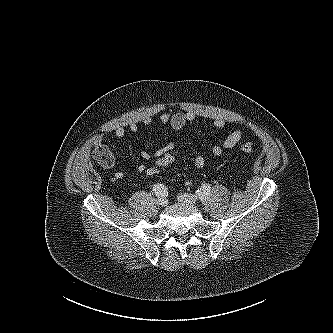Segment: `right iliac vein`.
Masks as SVG:
<instances>
[{
  "mask_svg": "<svg viewBox=\"0 0 333 333\" xmlns=\"http://www.w3.org/2000/svg\"><path fill=\"white\" fill-rule=\"evenodd\" d=\"M157 204L162 206V207H165L168 204V200L164 197H160L157 200Z\"/></svg>",
  "mask_w": 333,
  "mask_h": 333,
  "instance_id": "right-iliac-vein-1",
  "label": "right iliac vein"
}]
</instances>
